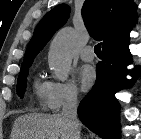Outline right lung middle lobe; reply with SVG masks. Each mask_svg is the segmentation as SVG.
I'll return each mask as SVG.
<instances>
[{
  "mask_svg": "<svg viewBox=\"0 0 141 139\" xmlns=\"http://www.w3.org/2000/svg\"><path fill=\"white\" fill-rule=\"evenodd\" d=\"M30 66H25L21 67L19 76H18V81H17V94L20 98H23L24 96V91L26 88V82H27V75L29 71Z\"/></svg>",
  "mask_w": 141,
  "mask_h": 139,
  "instance_id": "obj_1",
  "label": "right lung middle lobe"
}]
</instances>
